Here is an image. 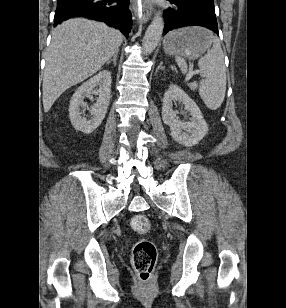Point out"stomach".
<instances>
[{"label":"stomach","instance_id":"obj_1","mask_svg":"<svg viewBox=\"0 0 286 308\" xmlns=\"http://www.w3.org/2000/svg\"><path fill=\"white\" fill-rule=\"evenodd\" d=\"M212 44V33L202 27H185L170 32L164 39V51L170 55L197 58Z\"/></svg>","mask_w":286,"mask_h":308}]
</instances>
